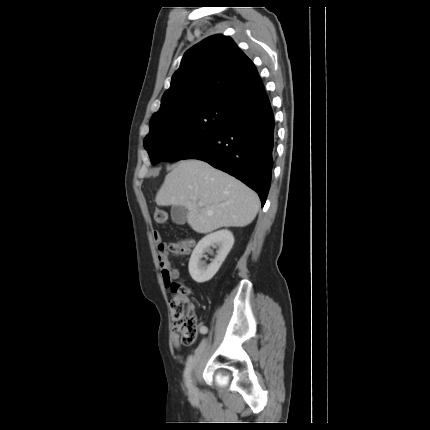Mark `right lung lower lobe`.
<instances>
[{"mask_svg":"<svg viewBox=\"0 0 430 430\" xmlns=\"http://www.w3.org/2000/svg\"><path fill=\"white\" fill-rule=\"evenodd\" d=\"M227 109L225 126L183 159L203 160L238 178L258 193L263 206L271 183L276 129L262 81L251 101Z\"/></svg>","mask_w":430,"mask_h":430,"instance_id":"right-lung-lower-lobe-1","label":"right lung lower lobe"}]
</instances>
